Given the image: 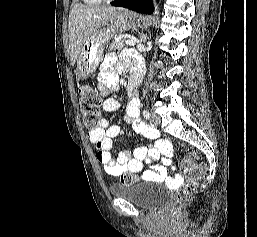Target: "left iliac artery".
Wrapping results in <instances>:
<instances>
[{"instance_id": "left-iliac-artery-1", "label": "left iliac artery", "mask_w": 257, "mask_h": 237, "mask_svg": "<svg viewBox=\"0 0 257 237\" xmlns=\"http://www.w3.org/2000/svg\"><path fill=\"white\" fill-rule=\"evenodd\" d=\"M143 116L148 119L149 118V112L147 110L143 111Z\"/></svg>"}]
</instances>
